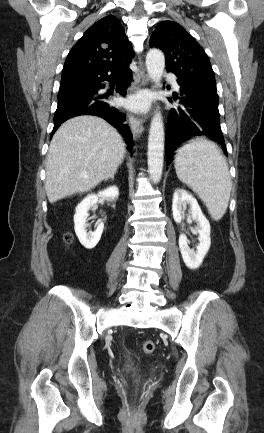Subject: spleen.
Returning <instances> with one entry per match:
<instances>
[{
  "label": "spleen",
  "mask_w": 264,
  "mask_h": 433,
  "mask_svg": "<svg viewBox=\"0 0 264 433\" xmlns=\"http://www.w3.org/2000/svg\"><path fill=\"white\" fill-rule=\"evenodd\" d=\"M174 163L179 180L199 196L214 220H220L228 207L231 178L218 146L196 138L177 150Z\"/></svg>",
  "instance_id": "3e777b00"
}]
</instances>
